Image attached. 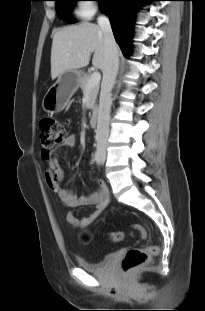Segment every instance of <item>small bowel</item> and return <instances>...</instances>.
I'll list each match as a JSON object with an SVG mask.
<instances>
[{
  "instance_id": "obj_1",
  "label": "small bowel",
  "mask_w": 205,
  "mask_h": 311,
  "mask_svg": "<svg viewBox=\"0 0 205 311\" xmlns=\"http://www.w3.org/2000/svg\"><path fill=\"white\" fill-rule=\"evenodd\" d=\"M77 143V137L74 134H70L65 137V140L58 146L53 155H50L48 160V167L45 171V180L51 190L57 195L60 202L68 208H76L80 206L93 205L94 210L84 217H79L73 212H69L67 215V222L72 227H86L93 223L100 214L105 210L108 205V190L104 182L99 181V188L92 192L88 196H77L75 191L70 188H64L61 186L63 172L58 160V154L68 148H72ZM90 161L94 164L95 155L90 156Z\"/></svg>"
}]
</instances>
